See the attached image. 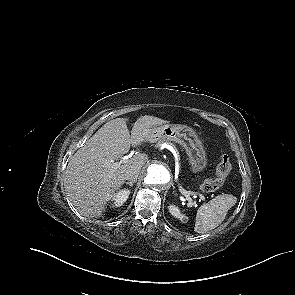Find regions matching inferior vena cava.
<instances>
[{
    "instance_id": "602c4592",
    "label": "inferior vena cava",
    "mask_w": 295,
    "mask_h": 295,
    "mask_svg": "<svg viewBox=\"0 0 295 295\" xmlns=\"http://www.w3.org/2000/svg\"><path fill=\"white\" fill-rule=\"evenodd\" d=\"M138 175H139V170L129 169L125 174V178L126 180H129V181H136Z\"/></svg>"
}]
</instances>
